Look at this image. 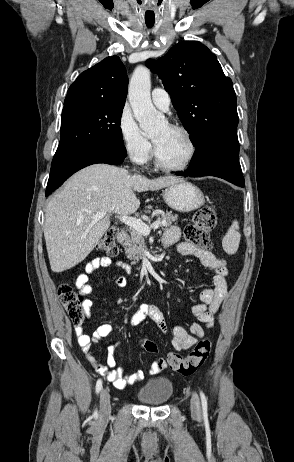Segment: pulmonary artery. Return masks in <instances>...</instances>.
<instances>
[{
    "label": "pulmonary artery",
    "instance_id": "pulmonary-artery-1",
    "mask_svg": "<svg viewBox=\"0 0 294 462\" xmlns=\"http://www.w3.org/2000/svg\"><path fill=\"white\" fill-rule=\"evenodd\" d=\"M152 102L156 107L162 110H168L170 106V95L163 88H154L151 92Z\"/></svg>",
    "mask_w": 294,
    "mask_h": 462
}]
</instances>
